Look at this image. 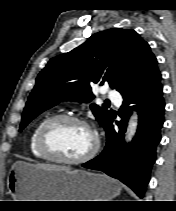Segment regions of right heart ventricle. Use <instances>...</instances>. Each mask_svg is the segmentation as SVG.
<instances>
[{"mask_svg": "<svg viewBox=\"0 0 176 211\" xmlns=\"http://www.w3.org/2000/svg\"><path fill=\"white\" fill-rule=\"evenodd\" d=\"M50 117H44L41 120H39L33 127L30 137H29V150L33 157L39 159V160H48L45 155H43L37 146V135L38 131L41 127V125Z\"/></svg>", "mask_w": 176, "mask_h": 211, "instance_id": "e07e8e85", "label": "right heart ventricle"}]
</instances>
